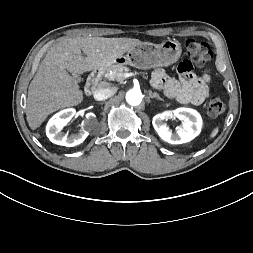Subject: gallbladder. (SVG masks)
<instances>
[{"instance_id": "obj_1", "label": "gallbladder", "mask_w": 253, "mask_h": 253, "mask_svg": "<svg viewBox=\"0 0 253 253\" xmlns=\"http://www.w3.org/2000/svg\"><path fill=\"white\" fill-rule=\"evenodd\" d=\"M74 78L76 79V81H80V78L78 77V75H75Z\"/></svg>"}]
</instances>
